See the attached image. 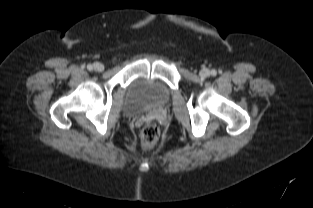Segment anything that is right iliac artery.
I'll list each match as a JSON object with an SVG mask.
<instances>
[{
  "label": "right iliac artery",
  "instance_id": "right-iliac-artery-1",
  "mask_svg": "<svg viewBox=\"0 0 313 208\" xmlns=\"http://www.w3.org/2000/svg\"><path fill=\"white\" fill-rule=\"evenodd\" d=\"M87 69L92 70L93 69L92 65L91 64L87 65Z\"/></svg>",
  "mask_w": 313,
  "mask_h": 208
}]
</instances>
